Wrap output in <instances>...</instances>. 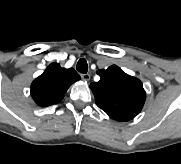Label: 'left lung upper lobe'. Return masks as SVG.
I'll use <instances>...</instances> for the list:
<instances>
[{
	"label": "left lung upper lobe",
	"instance_id": "left-lung-upper-lobe-1",
	"mask_svg": "<svg viewBox=\"0 0 181 164\" xmlns=\"http://www.w3.org/2000/svg\"><path fill=\"white\" fill-rule=\"evenodd\" d=\"M99 82L91 83L96 104L109 117L129 121L142 110L146 93L141 81L123 72L118 66L98 70Z\"/></svg>",
	"mask_w": 181,
	"mask_h": 164
}]
</instances>
